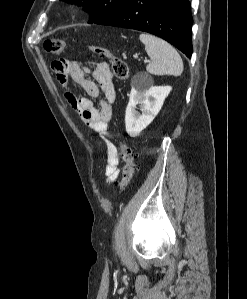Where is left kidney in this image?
<instances>
[{"label":"left kidney","mask_w":247,"mask_h":299,"mask_svg":"<svg viewBox=\"0 0 247 299\" xmlns=\"http://www.w3.org/2000/svg\"><path fill=\"white\" fill-rule=\"evenodd\" d=\"M171 89L170 86H154L148 90L132 87L125 112V126L129 136H138L154 120ZM138 105L142 114L136 110Z\"/></svg>","instance_id":"left-kidney-1"}]
</instances>
